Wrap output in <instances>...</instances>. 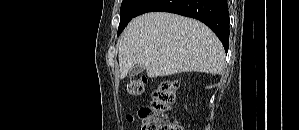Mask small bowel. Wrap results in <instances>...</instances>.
Segmentation results:
<instances>
[{
	"label": "small bowel",
	"mask_w": 299,
	"mask_h": 130,
	"mask_svg": "<svg viewBox=\"0 0 299 130\" xmlns=\"http://www.w3.org/2000/svg\"><path fill=\"white\" fill-rule=\"evenodd\" d=\"M125 118L127 122L134 123L137 120V115L134 113H128Z\"/></svg>",
	"instance_id": "obj_1"
}]
</instances>
